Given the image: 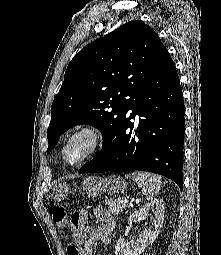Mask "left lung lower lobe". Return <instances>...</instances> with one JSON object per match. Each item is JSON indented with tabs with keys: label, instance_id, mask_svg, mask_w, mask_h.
Instances as JSON below:
<instances>
[{
	"label": "left lung lower lobe",
	"instance_id": "0a47b994",
	"mask_svg": "<svg viewBox=\"0 0 221 255\" xmlns=\"http://www.w3.org/2000/svg\"><path fill=\"white\" fill-rule=\"evenodd\" d=\"M184 109L175 64L166 52L102 150L78 173L148 171L170 178L182 190Z\"/></svg>",
	"mask_w": 221,
	"mask_h": 255
}]
</instances>
